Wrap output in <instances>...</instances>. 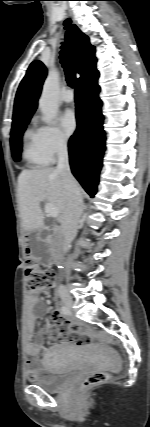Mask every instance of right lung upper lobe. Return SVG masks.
<instances>
[{"label": "right lung upper lobe", "instance_id": "obj_1", "mask_svg": "<svg viewBox=\"0 0 150 427\" xmlns=\"http://www.w3.org/2000/svg\"><path fill=\"white\" fill-rule=\"evenodd\" d=\"M66 44L76 72L81 75L77 83L85 82L98 74L95 67L97 61L94 55L95 48L90 44L89 38L75 25L66 32ZM46 74L47 70L42 62L36 60L31 63L16 93L13 123L31 118L37 108Z\"/></svg>", "mask_w": 150, "mask_h": 427}]
</instances>
